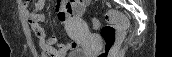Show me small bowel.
<instances>
[{"mask_svg": "<svg viewBox=\"0 0 172 57\" xmlns=\"http://www.w3.org/2000/svg\"><path fill=\"white\" fill-rule=\"evenodd\" d=\"M89 3L84 1H61L57 3V20L60 23H71V21L80 16L85 6ZM26 20L37 38L38 44L44 54L51 57H62L69 51L77 49L78 43L74 40L63 42L60 35L52 34L47 36L41 23L45 19L43 12L45 1H25L24 4ZM57 46V48L55 47Z\"/></svg>", "mask_w": 172, "mask_h": 57, "instance_id": "c3829d8e", "label": "small bowel"}]
</instances>
